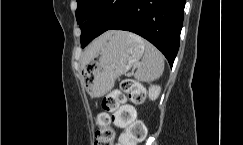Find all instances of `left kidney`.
Listing matches in <instances>:
<instances>
[{
	"mask_svg": "<svg viewBox=\"0 0 243 145\" xmlns=\"http://www.w3.org/2000/svg\"><path fill=\"white\" fill-rule=\"evenodd\" d=\"M161 92V87L157 85H152L149 87L148 96L151 100H155L158 98Z\"/></svg>",
	"mask_w": 243,
	"mask_h": 145,
	"instance_id": "1",
	"label": "left kidney"
}]
</instances>
